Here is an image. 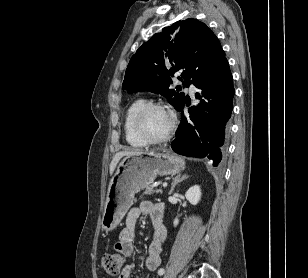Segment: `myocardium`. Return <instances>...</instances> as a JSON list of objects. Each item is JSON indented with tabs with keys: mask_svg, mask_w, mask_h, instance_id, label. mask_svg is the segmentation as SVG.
Instances as JSON below:
<instances>
[{
	"mask_svg": "<svg viewBox=\"0 0 308 278\" xmlns=\"http://www.w3.org/2000/svg\"><path fill=\"white\" fill-rule=\"evenodd\" d=\"M153 109L165 110L170 116V126H169L168 131L165 133V135H163L162 137H158V138L152 137L145 130L144 125H143V119H144L145 115L150 110H153ZM132 123H133V128H134V131L136 132V134L148 144H161V143L168 141L171 138L173 131L175 129V122H174L172 115L167 110V108L162 103H159V102H148V103H145L144 105H142L135 112L133 119H132Z\"/></svg>",
	"mask_w": 308,
	"mask_h": 278,
	"instance_id": "f54148a6",
	"label": "myocardium"
}]
</instances>
